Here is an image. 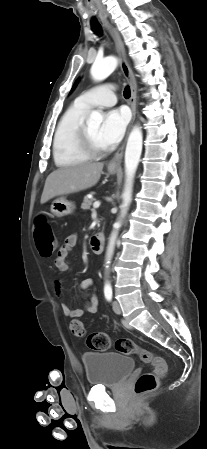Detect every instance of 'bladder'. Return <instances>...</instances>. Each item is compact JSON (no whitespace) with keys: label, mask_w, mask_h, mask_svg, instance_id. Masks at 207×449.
<instances>
[{"label":"bladder","mask_w":207,"mask_h":449,"mask_svg":"<svg viewBox=\"0 0 207 449\" xmlns=\"http://www.w3.org/2000/svg\"><path fill=\"white\" fill-rule=\"evenodd\" d=\"M82 362L90 386L116 387L135 369L134 359L118 352H86Z\"/></svg>","instance_id":"obj_1"}]
</instances>
